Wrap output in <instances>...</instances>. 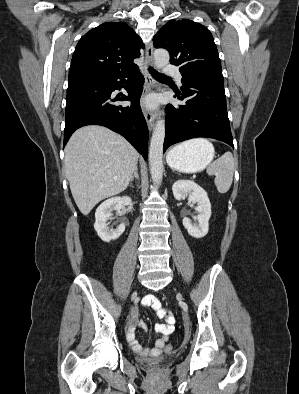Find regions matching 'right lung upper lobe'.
I'll return each mask as SVG.
<instances>
[{"label":"right lung upper lobe","instance_id":"right-lung-upper-lobe-1","mask_svg":"<svg viewBox=\"0 0 299 394\" xmlns=\"http://www.w3.org/2000/svg\"><path fill=\"white\" fill-rule=\"evenodd\" d=\"M143 47L140 37L126 23H103L79 40L68 81L130 72L137 68L133 59L140 56Z\"/></svg>","mask_w":299,"mask_h":394}]
</instances>
